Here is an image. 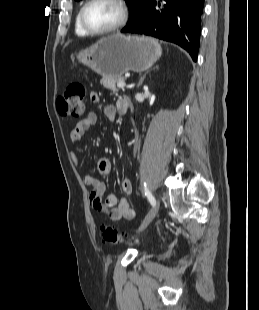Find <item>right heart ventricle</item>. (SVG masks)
<instances>
[{
	"mask_svg": "<svg viewBox=\"0 0 259 310\" xmlns=\"http://www.w3.org/2000/svg\"><path fill=\"white\" fill-rule=\"evenodd\" d=\"M74 30L76 35L80 37L88 36V34L84 31V29L81 27L79 22V13L76 15L75 22H74Z\"/></svg>",
	"mask_w": 259,
	"mask_h": 310,
	"instance_id": "1",
	"label": "right heart ventricle"
}]
</instances>
